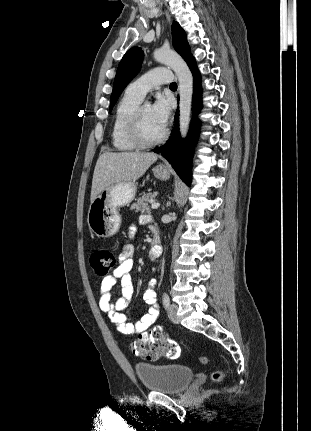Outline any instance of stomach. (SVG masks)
<instances>
[{
	"instance_id": "stomach-1",
	"label": "stomach",
	"mask_w": 311,
	"mask_h": 431,
	"mask_svg": "<svg viewBox=\"0 0 311 431\" xmlns=\"http://www.w3.org/2000/svg\"><path fill=\"white\" fill-rule=\"evenodd\" d=\"M157 180H169L170 172L165 166L152 170ZM149 180V176L144 182ZM137 182H119L100 192L91 202L87 214L89 229L98 237H112L119 231L122 223L120 208L130 206L137 194Z\"/></svg>"
}]
</instances>
